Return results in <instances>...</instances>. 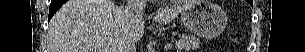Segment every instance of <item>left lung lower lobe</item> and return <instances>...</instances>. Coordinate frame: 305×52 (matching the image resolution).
<instances>
[{"instance_id": "0a47b994", "label": "left lung lower lobe", "mask_w": 305, "mask_h": 52, "mask_svg": "<svg viewBox=\"0 0 305 52\" xmlns=\"http://www.w3.org/2000/svg\"><path fill=\"white\" fill-rule=\"evenodd\" d=\"M247 2L250 4V5H253V2L251 0H247Z\"/></svg>"}]
</instances>
